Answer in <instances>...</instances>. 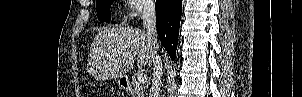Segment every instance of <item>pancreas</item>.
Here are the masks:
<instances>
[{
  "label": "pancreas",
  "instance_id": "1",
  "mask_svg": "<svg viewBox=\"0 0 302 97\" xmlns=\"http://www.w3.org/2000/svg\"><path fill=\"white\" fill-rule=\"evenodd\" d=\"M132 95H133V97H144V94L142 92V88L140 85L135 84L133 86Z\"/></svg>",
  "mask_w": 302,
  "mask_h": 97
}]
</instances>
